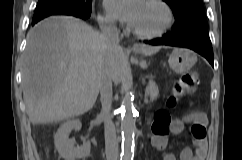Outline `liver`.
<instances>
[{
	"label": "liver",
	"instance_id": "1",
	"mask_svg": "<svg viewBox=\"0 0 242 160\" xmlns=\"http://www.w3.org/2000/svg\"><path fill=\"white\" fill-rule=\"evenodd\" d=\"M161 46H134L151 56ZM118 51L121 67L115 83L127 69L119 45L110 46L102 34L70 16H52L32 28L22 62L23 98L32 124L59 122L88 112L99 93V80Z\"/></svg>",
	"mask_w": 242,
	"mask_h": 160
}]
</instances>
